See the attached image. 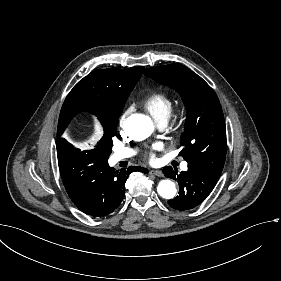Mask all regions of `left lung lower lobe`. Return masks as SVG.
I'll return each instance as SVG.
<instances>
[{
  "label": "left lung lower lobe",
  "instance_id": "left-lung-lower-lobe-1",
  "mask_svg": "<svg viewBox=\"0 0 281 281\" xmlns=\"http://www.w3.org/2000/svg\"><path fill=\"white\" fill-rule=\"evenodd\" d=\"M166 177L178 181L179 195L168 201V204L177 210H188L198 206L212 191L219 175H215L204 167L188 163V170L177 174L172 167H165Z\"/></svg>",
  "mask_w": 281,
  "mask_h": 281
}]
</instances>
